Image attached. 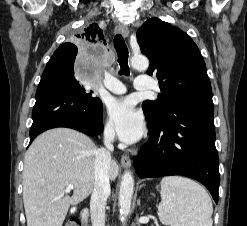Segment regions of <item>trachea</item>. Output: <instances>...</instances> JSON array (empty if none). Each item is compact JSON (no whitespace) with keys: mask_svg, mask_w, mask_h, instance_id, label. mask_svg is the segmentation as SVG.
I'll use <instances>...</instances> for the list:
<instances>
[{"mask_svg":"<svg viewBox=\"0 0 247 226\" xmlns=\"http://www.w3.org/2000/svg\"><path fill=\"white\" fill-rule=\"evenodd\" d=\"M114 47L116 49L118 55V63L120 65L119 74L129 76L130 75V69L128 66L129 52L122 35L117 34L114 37Z\"/></svg>","mask_w":247,"mask_h":226,"instance_id":"obj_1","label":"trachea"}]
</instances>
